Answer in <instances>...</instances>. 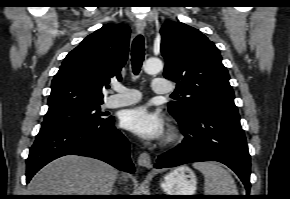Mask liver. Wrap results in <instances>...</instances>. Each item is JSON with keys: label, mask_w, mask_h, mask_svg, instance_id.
Here are the masks:
<instances>
[{"label": "liver", "mask_w": 290, "mask_h": 199, "mask_svg": "<svg viewBox=\"0 0 290 199\" xmlns=\"http://www.w3.org/2000/svg\"><path fill=\"white\" fill-rule=\"evenodd\" d=\"M117 170L93 158L68 155L42 168L30 181V195H111ZM126 179V177H125Z\"/></svg>", "instance_id": "obj_1"}]
</instances>
